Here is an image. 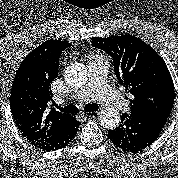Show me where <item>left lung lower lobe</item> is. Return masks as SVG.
<instances>
[{
	"label": "left lung lower lobe",
	"instance_id": "left-lung-lower-lobe-1",
	"mask_svg": "<svg viewBox=\"0 0 178 178\" xmlns=\"http://www.w3.org/2000/svg\"><path fill=\"white\" fill-rule=\"evenodd\" d=\"M168 117L163 113L122 114L121 124L108 130V137L123 151L137 152L158 138Z\"/></svg>",
	"mask_w": 178,
	"mask_h": 178
}]
</instances>
